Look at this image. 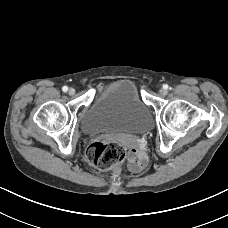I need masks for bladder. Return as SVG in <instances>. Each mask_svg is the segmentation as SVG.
I'll list each match as a JSON object with an SVG mask.
<instances>
[{
    "label": "bladder",
    "instance_id": "obj_1",
    "mask_svg": "<svg viewBox=\"0 0 228 228\" xmlns=\"http://www.w3.org/2000/svg\"><path fill=\"white\" fill-rule=\"evenodd\" d=\"M152 125L149 108L128 79L116 80L98 92L81 120V128L88 135L141 134Z\"/></svg>",
    "mask_w": 228,
    "mask_h": 228
}]
</instances>
